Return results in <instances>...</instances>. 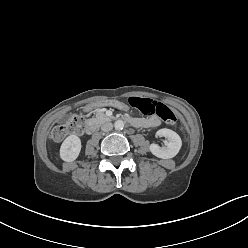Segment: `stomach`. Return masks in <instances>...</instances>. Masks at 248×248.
Here are the masks:
<instances>
[{
  "mask_svg": "<svg viewBox=\"0 0 248 248\" xmlns=\"http://www.w3.org/2000/svg\"><path fill=\"white\" fill-rule=\"evenodd\" d=\"M112 106L116 107L123 114H127L129 112L128 106L126 104L122 103L118 99H104L103 101H98L95 104V107L97 109L107 108V107H112Z\"/></svg>",
  "mask_w": 248,
  "mask_h": 248,
  "instance_id": "1",
  "label": "stomach"
}]
</instances>
